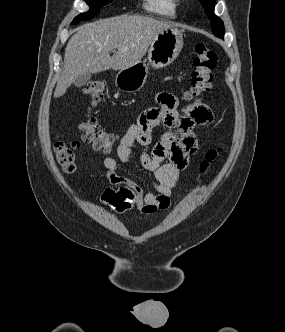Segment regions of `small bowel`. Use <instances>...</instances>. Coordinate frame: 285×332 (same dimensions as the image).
I'll use <instances>...</instances> for the list:
<instances>
[{
    "mask_svg": "<svg viewBox=\"0 0 285 332\" xmlns=\"http://www.w3.org/2000/svg\"><path fill=\"white\" fill-rule=\"evenodd\" d=\"M157 99L159 106H148V110L141 113L120 138L117 147L119 161L123 164L130 162L135 143L143 147L150 145L156 126H160L161 131L180 130L181 127V133L178 136L165 134L150 152H143L141 156L143 167L153 175L154 192L121 175L116 159H104L106 178L117 188H105L100 200L117 212L135 209L141 216H147L167 209L181 171L198 149L197 138L192 129L196 125L208 126L213 122L212 111L205 103L194 102L184 109L181 107L180 96L160 93Z\"/></svg>",
    "mask_w": 285,
    "mask_h": 332,
    "instance_id": "1",
    "label": "small bowel"
}]
</instances>
